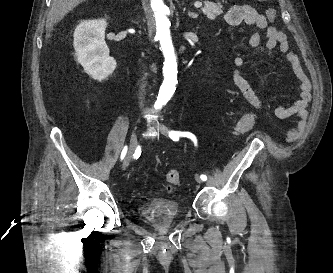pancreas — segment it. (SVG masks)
I'll return each instance as SVG.
<instances>
[{
	"mask_svg": "<svg viewBox=\"0 0 333 273\" xmlns=\"http://www.w3.org/2000/svg\"><path fill=\"white\" fill-rule=\"evenodd\" d=\"M204 4L205 5L202 8V12L210 20H215L217 16L223 13L222 6L219 3L215 4L205 1Z\"/></svg>",
	"mask_w": 333,
	"mask_h": 273,
	"instance_id": "1",
	"label": "pancreas"
}]
</instances>
